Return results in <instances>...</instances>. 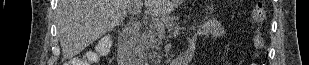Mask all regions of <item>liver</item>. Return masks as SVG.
Here are the masks:
<instances>
[{
    "instance_id": "1",
    "label": "liver",
    "mask_w": 309,
    "mask_h": 65,
    "mask_svg": "<svg viewBox=\"0 0 309 65\" xmlns=\"http://www.w3.org/2000/svg\"><path fill=\"white\" fill-rule=\"evenodd\" d=\"M135 0H59L57 32L63 58L69 59L121 24ZM180 0H144L154 14L171 13Z\"/></svg>"
}]
</instances>
